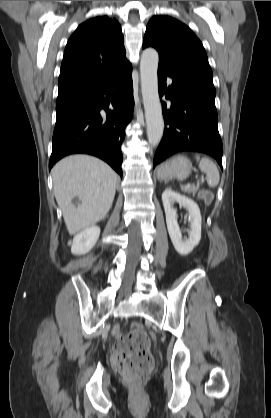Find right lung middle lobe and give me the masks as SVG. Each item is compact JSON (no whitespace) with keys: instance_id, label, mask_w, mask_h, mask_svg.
I'll return each mask as SVG.
<instances>
[{"instance_id":"right-lung-middle-lobe-1","label":"right lung middle lobe","mask_w":271,"mask_h":418,"mask_svg":"<svg viewBox=\"0 0 271 418\" xmlns=\"http://www.w3.org/2000/svg\"><path fill=\"white\" fill-rule=\"evenodd\" d=\"M59 106H61V105H56V108L59 107Z\"/></svg>"}]
</instances>
